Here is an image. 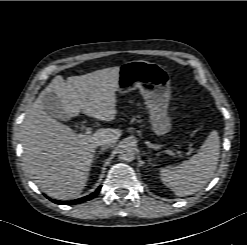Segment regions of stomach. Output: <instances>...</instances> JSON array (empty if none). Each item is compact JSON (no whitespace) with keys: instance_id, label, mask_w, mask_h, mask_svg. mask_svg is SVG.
Returning a JSON list of instances; mask_svg holds the SVG:
<instances>
[{"instance_id":"stomach-1","label":"stomach","mask_w":247,"mask_h":245,"mask_svg":"<svg viewBox=\"0 0 247 245\" xmlns=\"http://www.w3.org/2000/svg\"><path fill=\"white\" fill-rule=\"evenodd\" d=\"M139 89L149 110L152 131L163 136L171 129L168 105L171 96L170 76L165 68L157 63L133 60L119 67L118 89L127 93Z\"/></svg>"}]
</instances>
